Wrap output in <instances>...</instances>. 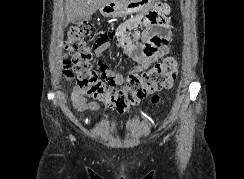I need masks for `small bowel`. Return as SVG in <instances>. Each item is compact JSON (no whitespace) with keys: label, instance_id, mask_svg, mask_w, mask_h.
<instances>
[{"label":"small bowel","instance_id":"c3829d8e","mask_svg":"<svg viewBox=\"0 0 244 179\" xmlns=\"http://www.w3.org/2000/svg\"><path fill=\"white\" fill-rule=\"evenodd\" d=\"M143 4L154 5V8L145 9L144 13H136V18H127L117 29L101 32L93 43L97 67L111 86L122 85L125 80L122 73L113 71L102 59L104 52L113 44L134 62L130 73H140L148 69L169 52L173 33L169 28L168 5L160 1ZM138 14H141V17H138ZM128 30L133 31L132 36L127 35ZM70 99L78 112L100 110L98 104L87 102L85 93L78 87L73 88Z\"/></svg>","mask_w":244,"mask_h":179}]
</instances>
